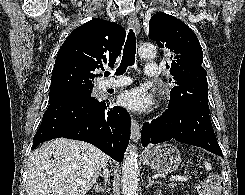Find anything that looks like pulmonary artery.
<instances>
[{
    "label": "pulmonary artery",
    "mask_w": 245,
    "mask_h": 195,
    "mask_svg": "<svg viewBox=\"0 0 245 195\" xmlns=\"http://www.w3.org/2000/svg\"><path fill=\"white\" fill-rule=\"evenodd\" d=\"M157 64L150 63L146 66V78H152L157 75ZM131 80L127 77L119 76L116 79L107 80L101 84V89L119 88L129 85Z\"/></svg>",
    "instance_id": "1"
}]
</instances>
